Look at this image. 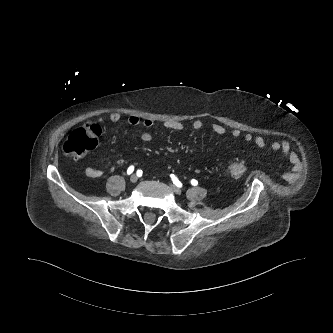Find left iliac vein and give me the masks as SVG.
<instances>
[{
	"instance_id": "obj_1",
	"label": "left iliac vein",
	"mask_w": 333,
	"mask_h": 333,
	"mask_svg": "<svg viewBox=\"0 0 333 333\" xmlns=\"http://www.w3.org/2000/svg\"><path fill=\"white\" fill-rule=\"evenodd\" d=\"M170 188L172 189V191L178 195H180L182 193L181 189L173 184L170 185Z\"/></svg>"
}]
</instances>
